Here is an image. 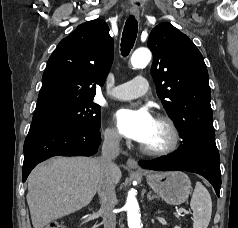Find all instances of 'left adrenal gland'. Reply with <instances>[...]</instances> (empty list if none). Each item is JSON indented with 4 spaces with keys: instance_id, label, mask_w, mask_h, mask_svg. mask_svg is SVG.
Returning <instances> with one entry per match:
<instances>
[{
    "instance_id": "left-adrenal-gland-1",
    "label": "left adrenal gland",
    "mask_w": 238,
    "mask_h": 228,
    "mask_svg": "<svg viewBox=\"0 0 238 228\" xmlns=\"http://www.w3.org/2000/svg\"><path fill=\"white\" fill-rule=\"evenodd\" d=\"M154 198H157V196L151 195V191H149V192L147 193V199H148L149 201H151V200L154 199Z\"/></svg>"
}]
</instances>
